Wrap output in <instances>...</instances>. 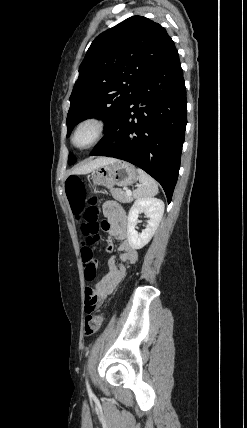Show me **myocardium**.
I'll return each mask as SVG.
<instances>
[{"mask_svg": "<svg viewBox=\"0 0 247 428\" xmlns=\"http://www.w3.org/2000/svg\"><path fill=\"white\" fill-rule=\"evenodd\" d=\"M85 127H91L93 129V136H92V139L87 144L79 145L76 142V137L78 133ZM105 132H106V123L104 119L97 115H90L82 118L75 125L71 133L70 141L74 148L78 150H87L97 145L104 137Z\"/></svg>", "mask_w": 247, "mask_h": 428, "instance_id": "f54148a6", "label": "myocardium"}]
</instances>
